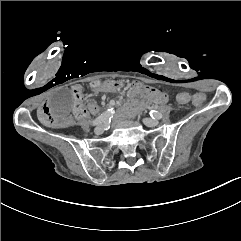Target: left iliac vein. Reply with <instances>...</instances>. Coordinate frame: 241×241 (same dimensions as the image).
<instances>
[{"label":"left iliac vein","instance_id":"left-iliac-vein-1","mask_svg":"<svg viewBox=\"0 0 241 241\" xmlns=\"http://www.w3.org/2000/svg\"><path fill=\"white\" fill-rule=\"evenodd\" d=\"M143 122L148 127H155L159 124L158 120L152 118H144Z\"/></svg>","mask_w":241,"mask_h":241}]
</instances>
